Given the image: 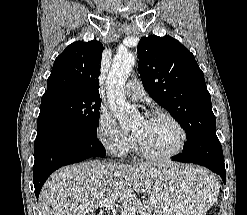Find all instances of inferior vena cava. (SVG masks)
Returning a JSON list of instances; mask_svg holds the SVG:
<instances>
[{
	"label": "inferior vena cava",
	"instance_id": "inferior-vena-cava-1",
	"mask_svg": "<svg viewBox=\"0 0 247 215\" xmlns=\"http://www.w3.org/2000/svg\"><path fill=\"white\" fill-rule=\"evenodd\" d=\"M110 164L113 166H117V164L115 162L113 163L112 161L110 162Z\"/></svg>",
	"mask_w": 247,
	"mask_h": 215
}]
</instances>
